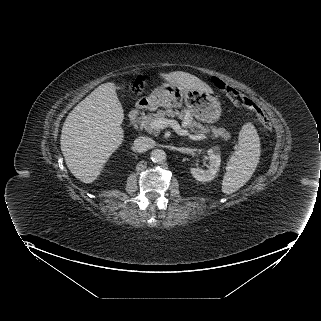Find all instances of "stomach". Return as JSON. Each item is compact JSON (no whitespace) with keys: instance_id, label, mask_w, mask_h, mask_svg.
<instances>
[{"instance_id":"obj_1","label":"stomach","mask_w":321,"mask_h":321,"mask_svg":"<svg viewBox=\"0 0 321 321\" xmlns=\"http://www.w3.org/2000/svg\"><path fill=\"white\" fill-rule=\"evenodd\" d=\"M185 105L192 115L204 123H215L221 115V104L217 97L202 90L187 89L170 82L163 83L155 88L146 98L147 105L151 109L158 107L175 108Z\"/></svg>"}]
</instances>
